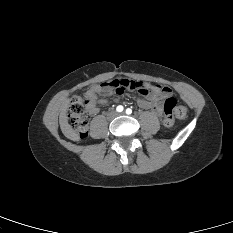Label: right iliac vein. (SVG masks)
<instances>
[{"mask_svg": "<svg viewBox=\"0 0 233 233\" xmlns=\"http://www.w3.org/2000/svg\"><path fill=\"white\" fill-rule=\"evenodd\" d=\"M116 116V113L114 112V111H112V112H110L109 114H108V118L109 119H112V118H114Z\"/></svg>", "mask_w": 233, "mask_h": 233, "instance_id": "1", "label": "right iliac vein"}]
</instances>
